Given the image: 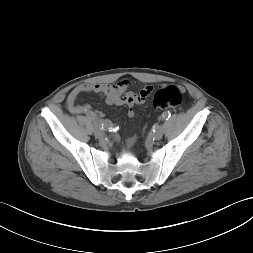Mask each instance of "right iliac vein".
Here are the masks:
<instances>
[{
	"label": "right iliac vein",
	"mask_w": 253,
	"mask_h": 253,
	"mask_svg": "<svg viewBox=\"0 0 253 253\" xmlns=\"http://www.w3.org/2000/svg\"><path fill=\"white\" fill-rule=\"evenodd\" d=\"M94 134L97 138H102L104 136L103 130L97 123L94 124Z\"/></svg>",
	"instance_id": "63e3f726"
}]
</instances>
